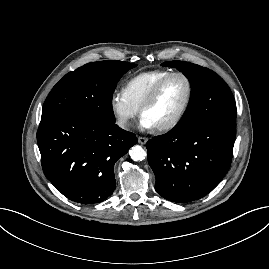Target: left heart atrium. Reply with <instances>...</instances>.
<instances>
[{
  "label": "left heart atrium",
  "instance_id": "left-heart-atrium-1",
  "mask_svg": "<svg viewBox=\"0 0 269 269\" xmlns=\"http://www.w3.org/2000/svg\"><path fill=\"white\" fill-rule=\"evenodd\" d=\"M140 127L142 129H152L154 128L153 124L145 117L142 116L140 119Z\"/></svg>",
  "mask_w": 269,
  "mask_h": 269
}]
</instances>
